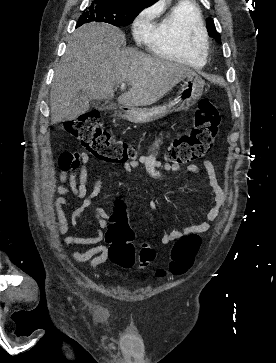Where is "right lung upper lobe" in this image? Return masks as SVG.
<instances>
[{
  "instance_id": "obj_1",
  "label": "right lung upper lobe",
  "mask_w": 276,
  "mask_h": 363,
  "mask_svg": "<svg viewBox=\"0 0 276 363\" xmlns=\"http://www.w3.org/2000/svg\"><path fill=\"white\" fill-rule=\"evenodd\" d=\"M104 1H112L124 4H142L148 6L151 5L156 0H104Z\"/></svg>"
}]
</instances>
